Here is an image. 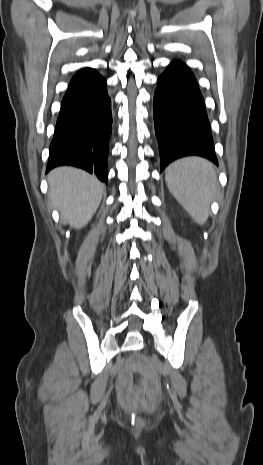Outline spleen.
Masks as SVG:
<instances>
[{
  "label": "spleen",
  "mask_w": 263,
  "mask_h": 465,
  "mask_svg": "<svg viewBox=\"0 0 263 465\" xmlns=\"http://www.w3.org/2000/svg\"><path fill=\"white\" fill-rule=\"evenodd\" d=\"M167 186L190 216L203 224L209 216V202L217 188L213 165L200 157H186L166 170Z\"/></svg>",
  "instance_id": "spleen-1"
}]
</instances>
